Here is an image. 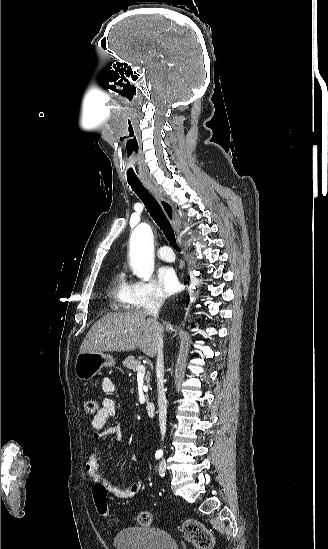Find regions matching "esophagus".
I'll list each match as a JSON object with an SVG mask.
<instances>
[{
  "label": "esophagus",
  "instance_id": "esophagus-1",
  "mask_svg": "<svg viewBox=\"0 0 328 549\" xmlns=\"http://www.w3.org/2000/svg\"><path fill=\"white\" fill-rule=\"evenodd\" d=\"M142 182H143L144 186L146 187V189H148L151 192V194L155 197L157 202H159V205L161 206V208H162L163 212L165 213L167 219L171 223V225L174 228L175 232L178 234L180 224H179L177 213L174 209V206L152 184V182H150V180H142Z\"/></svg>",
  "mask_w": 328,
  "mask_h": 549
}]
</instances>
